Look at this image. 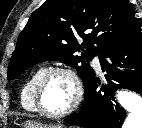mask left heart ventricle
Here are the masks:
<instances>
[{
	"instance_id": "obj_1",
	"label": "left heart ventricle",
	"mask_w": 142,
	"mask_h": 128,
	"mask_svg": "<svg viewBox=\"0 0 142 128\" xmlns=\"http://www.w3.org/2000/svg\"><path fill=\"white\" fill-rule=\"evenodd\" d=\"M74 96V88L70 78L62 73L49 76L41 91V105L51 113L62 112L67 109Z\"/></svg>"
}]
</instances>
